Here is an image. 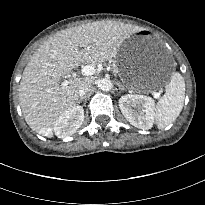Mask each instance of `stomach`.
Returning <instances> with one entry per match:
<instances>
[{
  "mask_svg": "<svg viewBox=\"0 0 205 205\" xmlns=\"http://www.w3.org/2000/svg\"><path fill=\"white\" fill-rule=\"evenodd\" d=\"M116 59L122 80L132 90H151L161 86V71L171 64L159 38L147 30L129 36L119 47ZM151 67L157 69L153 76L147 74Z\"/></svg>",
  "mask_w": 205,
  "mask_h": 205,
  "instance_id": "stomach-1",
  "label": "stomach"
}]
</instances>
